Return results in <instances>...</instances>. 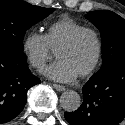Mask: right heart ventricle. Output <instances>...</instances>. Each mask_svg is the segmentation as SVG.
Wrapping results in <instances>:
<instances>
[{
	"label": "right heart ventricle",
	"instance_id": "e07e8e85",
	"mask_svg": "<svg viewBox=\"0 0 125 125\" xmlns=\"http://www.w3.org/2000/svg\"><path fill=\"white\" fill-rule=\"evenodd\" d=\"M83 28L86 27L81 23L71 18H63L47 28L45 37L52 51H56L71 35Z\"/></svg>",
	"mask_w": 125,
	"mask_h": 125
}]
</instances>
